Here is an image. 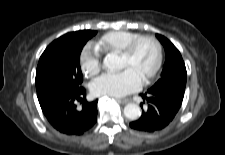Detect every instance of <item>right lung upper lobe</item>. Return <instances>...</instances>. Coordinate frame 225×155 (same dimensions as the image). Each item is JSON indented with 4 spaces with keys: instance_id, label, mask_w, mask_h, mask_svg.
<instances>
[{
    "instance_id": "cb5924a9",
    "label": "right lung upper lobe",
    "mask_w": 225,
    "mask_h": 155,
    "mask_svg": "<svg viewBox=\"0 0 225 155\" xmlns=\"http://www.w3.org/2000/svg\"><path fill=\"white\" fill-rule=\"evenodd\" d=\"M94 31L91 30H82V31H77V32H71L77 35H89L92 34Z\"/></svg>"
}]
</instances>
